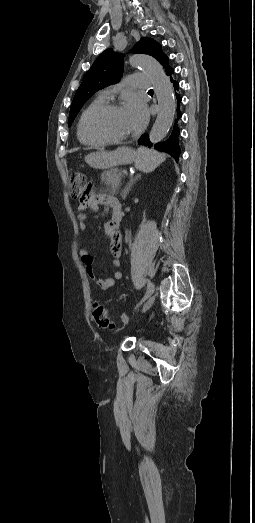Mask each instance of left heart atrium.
I'll use <instances>...</instances> for the list:
<instances>
[{"instance_id": "39dd6f15", "label": "left heart atrium", "mask_w": 255, "mask_h": 523, "mask_svg": "<svg viewBox=\"0 0 255 523\" xmlns=\"http://www.w3.org/2000/svg\"><path fill=\"white\" fill-rule=\"evenodd\" d=\"M132 113L135 132L141 130L146 124L149 112L146 104L136 97H131L126 105Z\"/></svg>"}]
</instances>
